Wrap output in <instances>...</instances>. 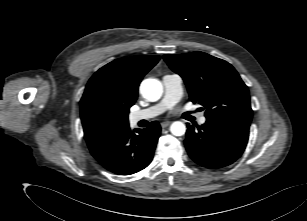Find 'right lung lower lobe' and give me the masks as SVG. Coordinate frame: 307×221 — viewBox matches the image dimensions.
I'll list each match as a JSON object with an SVG mask.
<instances>
[{
    "instance_id": "obj_1",
    "label": "right lung lower lobe",
    "mask_w": 307,
    "mask_h": 221,
    "mask_svg": "<svg viewBox=\"0 0 307 221\" xmlns=\"http://www.w3.org/2000/svg\"><path fill=\"white\" fill-rule=\"evenodd\" d=\"M130 128L116 135L91 154L108 171L130 175L147 167L160 136V125L154 121L147 129Z\"/></svg>"
}]
</instances>
